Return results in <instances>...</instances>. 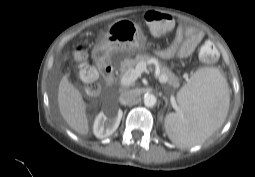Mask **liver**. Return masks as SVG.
Wrapping results in <instances>:
<instances>
[{"instance_id":"obj_1","label":"liver","mask_w":255,"mask_h":177,"mask_svg":"<svg viewBox=\"0 0 255 177\" xmlns=\"http://www.w3.org/2000/svg\"><path fill=\"white\" fill-rule=\"evenodd\" d=\"M58 106L66 123L76 132L87 135L89 132L86 104L78 89L64 75L58 87Z\"/></svg>"}]
</instances>
